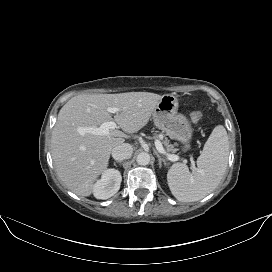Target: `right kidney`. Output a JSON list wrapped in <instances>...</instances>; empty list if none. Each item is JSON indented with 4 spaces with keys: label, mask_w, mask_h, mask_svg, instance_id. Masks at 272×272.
Segmentation results:
<instances>
[{
    "label": "right kidney",
    "mask_w": 272,
    "mask_h": 272,
    "mask_svg": "<svg viewBox=\"0 0 272 272\" xmlns=\"http://www.w3.org/2000/svg\"><path fill=\"white\" fill-rule=\"evenodd\" d=\"M122 181L118 170L108 169L93 186V194L97 199H108L115 195L120 189Z\"/></svg>",
    "instance_id": "1"
}]
</instances>
